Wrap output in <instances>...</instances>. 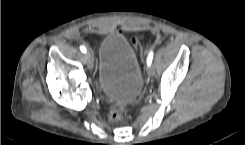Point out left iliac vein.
<instances>
[{
	"label": "left iliac vein",
	"instance_id": "obj_1",
	"mask_svg": "<svg viewBox=\"0 0 245 145\" xmlns=\"http://www.w3.org/2000/svg\"><path fill=\"white\" fill-rule=\"evenodd\" d=\"M147 73H148L150 76H154V75H155V68H154L152 65H148V66H147Z\"/></svg>",
	"mask_w": 245,
	"mask_h": 145
}]
</instances>
